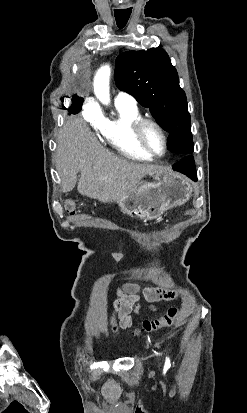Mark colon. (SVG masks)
Returning <instances> with one entry per match:
<instances>
[{"instance_id": "obj_1", "label": "colon", "mask_w": 247, "mask_h": 413, "mask_svg": "<svg viewBox=\"0 0 247 413\" xmlns=\"http://www.w3.org/2000/svg\"><path fill=\"white\" fill-rule=\"evenodd\" d=\"M65 207L68 213L74 214L77 209V204L73 201H68L66 202ZM178 313L179 309L177 307H171L163 316L159 318L144 320L142 321L141 326L135 329L133 335L135 337H140L147 333L156 332L165 328H171L174 325Z\"/></svg>"}]
</instances>
